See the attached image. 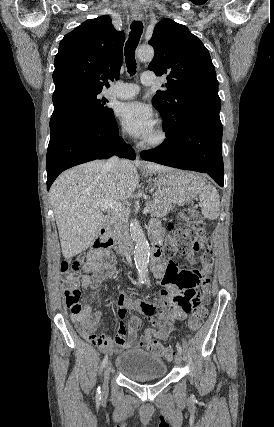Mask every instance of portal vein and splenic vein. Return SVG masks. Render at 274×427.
<instances>
[{
    "instance_id": "18ae733b",
    "label": "portal vein and splenic vein",
    "mask_w": 274,
    "mask_h": 427,
    "mask_svg": "<svg viewBox=\"0 0 274 427\" xmlns=\"http://www.w3.org/2000/svg\"><path fill=\"white\" fill-rule=\"evenodd\" d=\"M98 206H100L101 210H111V212H124V208H122L121 202H112V200H103V202H99ZM150 208H144L143 214H148Z\"/></svg>"
}]
</instances>
